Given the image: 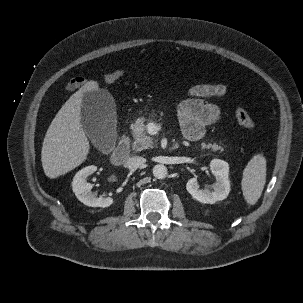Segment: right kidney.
I'll use <instances>...</instances> for the list:
<instances>
[{"label": "right kidney", "instance_id": "ca27d5eb", "mask_svg": "<svg viewBox=\"0 0 303 303\" xmlns=\"http://www.w3.org/2000/svg\"><path fill=\"white\" fill-rule=\"evenodd\" d=\"M97 170L96 166H87L81 169L73 178L72 190L83 204L91 207H108L113 203L111 197H96L92 192V185L87 182V177Z\"/></svg>", "mask_w": 303, "mask_h": 303}]
</instances>
